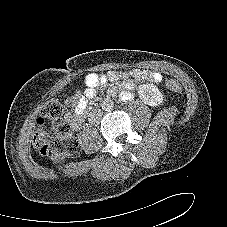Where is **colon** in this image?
<instances>
[{"mask_svg": "<svg viewBox=\"0 0 227 227\" xmlns=\"http://www.w3.org/2000/svg\"><path fill=\"white\" fill-rule=\"evenodd\" d=\"M163 83L165 88L171 93H179L181 90L178 81L172 77H165ZM74 100L75 97L70 99V101ZM64 114V106L58 99L52 98L42 106L39 126L33 137V146L42 155L75 157L79 154V144L68 124L63 120ZM45 120L50 121L48 128L42 126Z\"/></svg>", "mask_w": 227, "mask_h": 227, "instance_id": "obj_1", "label": "colon"}]
</instances>
